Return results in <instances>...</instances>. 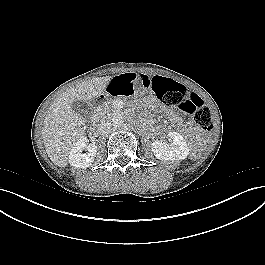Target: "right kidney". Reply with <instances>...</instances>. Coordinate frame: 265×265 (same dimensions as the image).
<instances>
[{
    "instance_id": "1",
    "label": "right kidney",
    "mask_w": 265,
    "mask_h": 265,
    "mask_svg": "<svg viewBox=\"0 0 265 265\" xmlns=\"http://www.w3.org/2000/svg\"><path fill=\"white\" fill-rule=\"evenodd\" d=\"M86 150V153H82ZM97 146L94 143L87 144V138L82 136L74 144L69 154V163L76 168H87L95 159Z\"/></svg>"
}]
</instances>
